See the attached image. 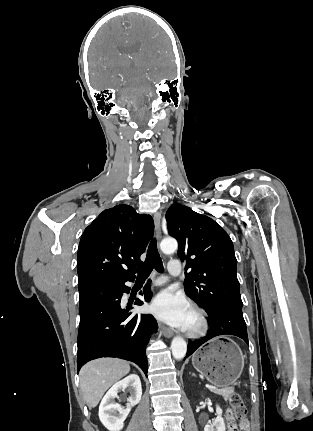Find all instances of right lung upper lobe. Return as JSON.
I'll return each mask as SVG.
<instances>
[{"instance_id":"obj_1","label":"right lung upper lobe","mask_w":313,"mask_h":431,"mask_svg":"<svg viewBox=\"0 0 313 431\" xmlns=\"http://www.w3.org/2000/svg\"><path fill=\"white\" fill-rule=\"evenodd\" d=\"M154 232L150 215L129 205L104 210L84 231L78 247V287L135 278L133 269Z\"/></svg>"}]
</instances>
